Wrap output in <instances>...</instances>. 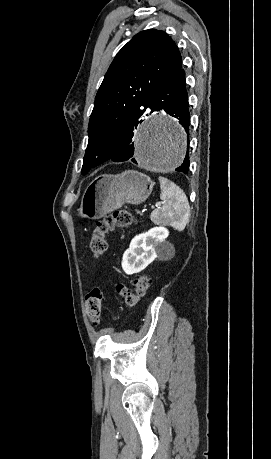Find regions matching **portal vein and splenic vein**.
<instances>
[{
	"label": "portal vein and splenic vein",
	"mask_w": 271,
	"mask_h": 459,
	"mask_svg": "<svg viewBox=\"0 0 271 459\" xmlns=\"http://www.w3.org/2000/svg\"><path fill=\"white\" fill-rule=\"evenodd\" d=\"M155 205L154 204H151V210H154V207ZM157 206H160V204H157Z\"/></svg>",
	"instance_id": "1"
}]
</instances>
